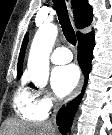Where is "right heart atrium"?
<instances>
[{
  "mask_svg": "<svg viewBox=\"0 0 112 135\" xmlns=\"http://www.w3.org/2000/svg\"><path fill=\"white\" fill-rule=\"evenodd\" d=\"M38 105L46 112H49L56 104V99L47 90L36 91Z\"/></svg>",
  "mask_w": 112,
  "mask_h": 135,
  "instance_id": "right-heart-atrium-1",
  "label": "right heart atrium"
}]
</instances>
